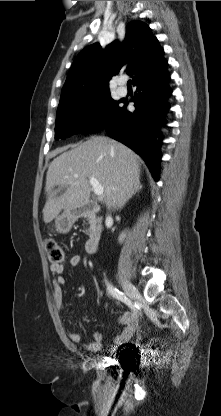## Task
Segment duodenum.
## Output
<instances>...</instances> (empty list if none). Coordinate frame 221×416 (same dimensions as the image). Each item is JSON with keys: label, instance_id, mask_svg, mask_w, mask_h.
I'll list each match as a JSON object with an SVG mask.
<instances>
[{"label": "duodenum", "instance_id": "obj_1", "mask_svg": "<svg viewBox=\"0 0 221 416\" xmlns=\"http://www.w3.org/2000/svg\"><path fill=\"white\" fill-rule=\"evenodd\" d=\"M98 210H99L98 204L95 203L94 201H89V202L84 203L81 206L72 208L69 212L71 216L80 218L87 214H94ZM100 240H101L100 232L98 230L92 231V233L90 234L86 242V252L88 254L95 253L98 249Z\"/></svg>", "mask_w": 221, "mask_h": 416}]
</instances>
